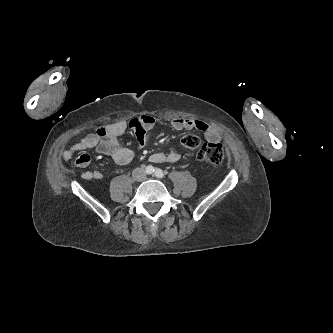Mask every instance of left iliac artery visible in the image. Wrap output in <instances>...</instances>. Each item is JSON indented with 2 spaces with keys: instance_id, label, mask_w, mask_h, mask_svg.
Masks as SVG:
<instances>
[{
  "instance_id": "44dca946",
  "label": "left iliac artery",
  "mask_w": 333,
  "mask_h": 333,
  "mask_svg": "<svg viewBox=\"0 0 333 333\" xmlns=\"http://www.w3.org/2000/svg\"><path fill=\"white\" fill-rule=\"evenodd\" d=\"M155 176L158 177V178H163L164 173L161 169H155Z\"/></svg>"
}]
</instances>
